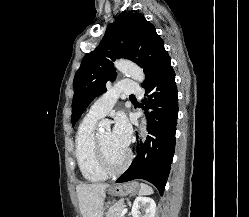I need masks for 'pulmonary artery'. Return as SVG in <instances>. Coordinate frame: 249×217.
<instances>
[{"mask_svg":"<svg viewBox=\"0 0 249 217\" xmlns=\"http://www.w3.org/2000/svg\"><path fill=\"white\" fill-rule=\"evenodd\" d=\"M134 95H142V91L137 83L131 80L119 82L112 89L102 95L91 106L88 115L94 118L104 117L114 106L119 97Z\"/></svg>","mask_w":249,"mask_h":217,"instance_id":"obj_1","label":"pulmonary artery"}]
</instances>
